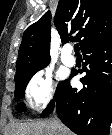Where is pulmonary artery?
Wrapping results in <instances>:
<instances>
[{"label":"pulmonary artery","mask_w":112,"mask_h":135,"mask_svg":"<svg viewBox=\"0 0 112 135\" xmlns=\"http://www.w3.org/2000/svg\"><path fill=\"white\" fill-rule=\"evenodd\" d=\"M72 47L70 45L64 46L61 50V61L66 66L75 65V57L71 54Z\"/></svg>","instance_id":"obj_1"}]
</instances>
